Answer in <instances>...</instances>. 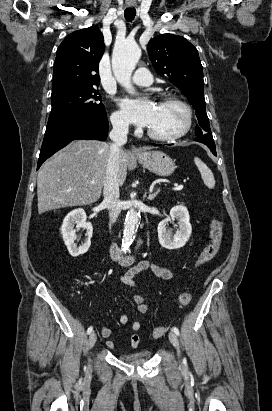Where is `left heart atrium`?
<instances>
[{"label": "left heart atrium", "mask_w": 272, "mask_h": 411, "mask_svg": "<svg viewBox=\"0 0 272 411\" xmlns=\"http://www.w3.org/2000/svg\"><path fill=\"white\" fill-rule=\"evenodd\" d=\"M130 122L149 127L154 119L157 103L151 100L125 98L120 103Z\"/></svg>", "instance_id": "obj_1"}]
</instances>
